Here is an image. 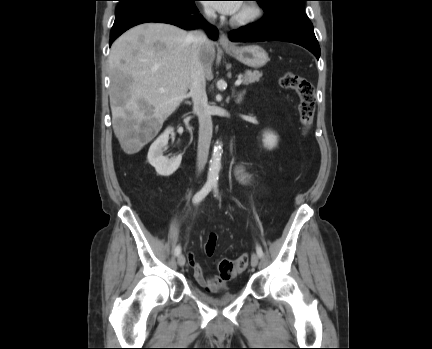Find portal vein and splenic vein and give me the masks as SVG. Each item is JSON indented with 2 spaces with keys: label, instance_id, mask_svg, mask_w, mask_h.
Instances as JSON below:
<instances>
[{
  "label": "portal vein and splenic vein",
  "instance_id": "1",
  "mask_svg": "<svg viewBox=\"0 0 432 349\" xmlns=\"http://www.w3.org/2000/svg\"><path fill=\"white\" fill-rule=\"evenodd\" d=\"M242 83V79L238 78L235 82V86H239Z\"/></svg>",
  "mask_w": 432,
  "mask_h": 349
}]
</instances>
